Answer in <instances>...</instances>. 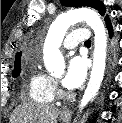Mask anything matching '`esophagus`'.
Wrapping results in <instances>:
<instances>
[{
	"label": "esophagus",
	"instance_id": "esophagus-1",
	"mask_svg": "<svg viewBox=\"0 0 122 123\" xmlns=\"http://www.w3.org/2000/svg\"><path fill=\"white\" fill-rule=\"evenodd\" d=\"M70 114H71V111L69 109H65L62 112V115H64V116H70Z\"/></svg>",
	"mask_w": 122,
	"mask_h": 123
}]
</instances>
